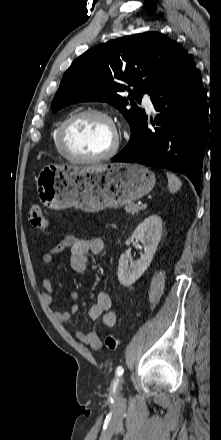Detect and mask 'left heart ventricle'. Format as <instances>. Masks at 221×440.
Listing matches in <instances>:
<instances>
[{
	"mask_svg": "<svg viewBox=\"0 0 221 440\" xmlns=\"http://www.w3.org/2000/svg\"><path fill=\"white\" fill-rule=\"evenodd\" d=\"M114 138L113 128L105 119L87 116L71 125L66 144L75 155L93 157L108 151Z\"/></svg>",
	"mask_w": 221,
	"mask_h": 440,
	"instance_id": "b2bd125f",
	"label": "left heart ventricle"
}]
</instances>
